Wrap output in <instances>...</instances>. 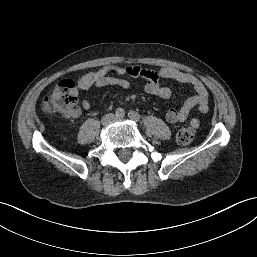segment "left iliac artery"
I'll return each instance as SVG.
<instances>
[{
	"mask_svg": "<svg viewBox=\"0 0 257 257\" xmlns=\"http://www.w3.org/2000/svg\"><path fill=\"white\" fill-rule=\"evenodd\" d=\"M128 117L134 121H139L140 120V115L137 112L130 111L128 113Z\"/></svg>",
	"mask_w": 257,
	"mask_h": 257,
	"instance_id": "left-iliac-artery-1",
	"label": "left iliac artery"
}]
</instances>
